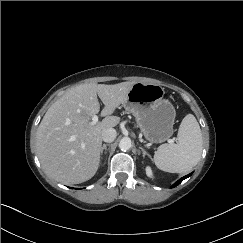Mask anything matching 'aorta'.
I'll return each mask as SVG.
<instances>
[{
  "instance_id": "762f6f07",
  "label": "aorta",
  "mask_w": 243,
  "mask_h": 243,
  "mask_svg": "<svg viewBox=\"0 0 243 243\" xmlns=\"http://www.w3.org/2000/svg\"><path fill=\"white\" fill-rule=\"evenodd\" d=\"M132 147V141L130 138H122L119 142V148L122 150V151H127L129 150L130 148Z\"/></svg>"
}]
</instances>
